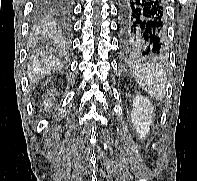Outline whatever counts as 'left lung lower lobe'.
<instances>
[{"label":"left lung lower lobe","mask_w":197,"mask_h":181,"mask_svg":"<svg viewBox=\"0 0 197 181\" xmlns=\"http://www.w3.org/2000/svg\"><path fill=\"white\" fill-rule=\"evenodd\" d=\"M121 51L128 57H155L166 52L164 0H119Z\"/></svg>","instance_id":"left-lung-lower-lobe-1"}]
</instances>
